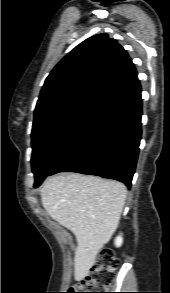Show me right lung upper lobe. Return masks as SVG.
Returning a JSON list of instances; mask_svg holds the SVG:
<instances>
[{
    "mask_svg": "<svg viewBox=\"0 0 170 293\" xmlns=\"http://www.w3.org/2000/svg\"><path fill=\"white\" fill-rule=\"evenodd\" d=\"M139 88L136 69L123 47L105 33L92 36L69 52L46 78L33 125L77 104L107 107Z\"/></svg>",
    "mask_w": 170,
    "mask_h": 293,
    "instance_id": "1",
    "label": "right lung upper lobe"
}]
</instances>
